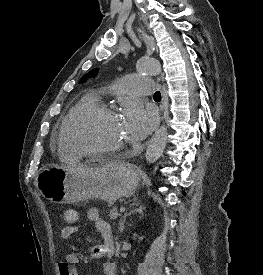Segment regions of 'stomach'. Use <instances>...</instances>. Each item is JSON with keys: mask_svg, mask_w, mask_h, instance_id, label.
<instances>
[{"mask_svg": "<svg viewBox=\"0 0 263 275\" xmlns=\"http://www.w3.org/2000/svg\"><path fill=\"white\" fill-rule=\"evenodd\" d=\"M35 183L40 194L53 203H78L97 198L112 204L134 194L138 176L124 163L106 162L97 167H47L37 175Z\"/></svg>", "mask_w": 263, "mask_h": 275, "instance_id": "stomach-1", "label": "stomach"}]
</instances>
